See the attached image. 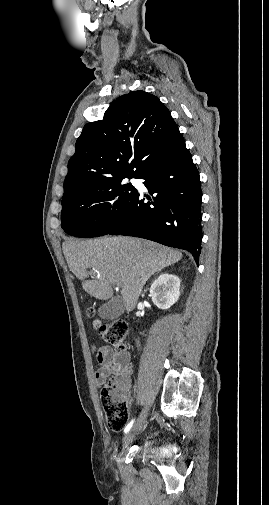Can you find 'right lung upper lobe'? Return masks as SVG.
Returning <instances> with one entry per match:
<instances>
[{
    "label": "right lung upper lobe",
    "instance_id": "1",
    "mask_svg": "<svg viewBox=\"0 0 269 505\" xmlns=\"http://www.w3.org/2000/svg\"><path fill=\"white\" fill-rule=\"evenodd\" d=\"M182 144L184 139L169 110L156 96L141 90L125 94L106 110L102 120L84 126L68 163L62 201L88 188L138 178Z\"/></svg>",
    "mask_w": 269,
    "mask_h": 505
}]
</instances>
